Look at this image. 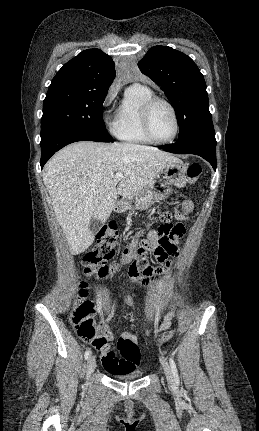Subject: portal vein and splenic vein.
Returning <instances> with one entry per match:
<instances>
[{
	"label": "portal vein and splenic vein",
	"instance_id": "obj_1",
	"mask_svg": "<svg viewBox=\"0 0 259 431\" xmlns=\"http://www.w3.org/2000/svg\"><path fill=\"white\" fill-rule=\"evenodd\" d=\"M122 177H123V173L118 172V173L115 174L114 181L118 182V181H120L122 179Z\"/></svg>",
	"mask_w": 259,
	"mask_h": 431
}]
</instances>
